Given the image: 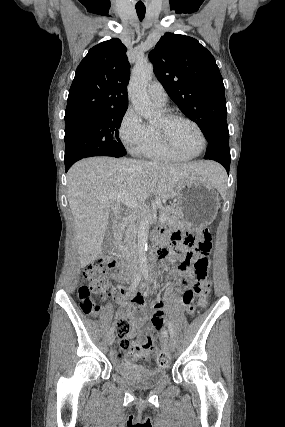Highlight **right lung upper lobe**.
Segmentation results:
<instances>
[{
  "mask_svg": "<svg viewBox=\"0 0 285 427\" xmlns=\"http://www.w3.org/2000/svg\"><path fill=\"white\" fill-rule=\"evenodd\" d=\"M118 38L92 47L79 64L69 90L65 120L112 109H127L130 64Z\"/></svg>",
  "mask_w": 285,
  "mask_h": 427,
  "instance_id": "obj_1",
  "label": "right lung upper lobe"
}]
</instances>
